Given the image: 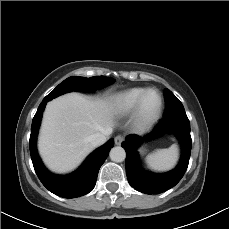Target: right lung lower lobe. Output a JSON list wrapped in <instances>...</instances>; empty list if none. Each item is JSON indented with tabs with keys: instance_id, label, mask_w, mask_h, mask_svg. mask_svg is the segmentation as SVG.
<instances>
[{
	"instance_id": "98d812e1",
	"label": "right lung lower lobe",
	"mask_w": 229,
	"mask_h": 229,
	"mask_svg": "<svg viewBox=\"0 0 229 229\" xmlns=\"http://www.w3.org/2000/svg\"><path fill=\"white\" fill-rule=\"evenodd\" d=\"M47 101L43 99L33 118L30 135V154L35 172L42 184L53 194L64 198H75L91 192L96 184L101 165L106 160L114 140L91 153L78 170L69 175H55L43 165L37 153L36 140L43 110Z\"/></svg>"
}]
</instances>
